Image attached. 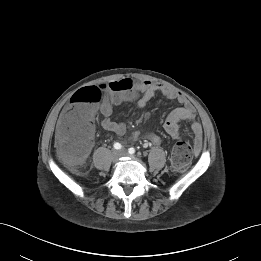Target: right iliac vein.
I'll list each match as a JSON object with an SVG mask.
<instances>
[{
  "mask_svg": "<svg viewBox=\"0 0 261 261\" xmlns=\"http://www.w3.org/2000/svg\"><path fill=\"white\" fill-rule=\"evenodd\" d=\"M111 160L113 161V162H116V161H118V159H119V157H120V152L119 151H113L112 153H111Z\"/></svg>",
  "mask_w": 261,
  "mask_h": 261,
  "instance_id": "1",
  "label": "right iliac vein"
}]
</instances>
